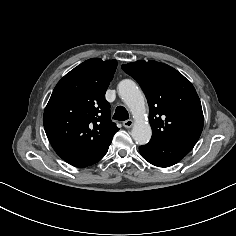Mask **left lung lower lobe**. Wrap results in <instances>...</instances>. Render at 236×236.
Returning <instances> with one entry per match:
<instances>
[{
	"instance_id": "0a47b994",
	"label": "left lung lower lobe",
	"mask_w": 236,
	"mask_h": 236,
	"mask_svg": "<svg viewBox=\"0 0 236 236\" xmlns=\"http://www.w3.org/2000/svg\"><path fill=\"white\" fill-rule=\"evenodd\" d=\"M193 143H148L140 146L142 157L149 163L159 167H169L184 158L194 147Z\"/></svg>"
}]
</instances>
